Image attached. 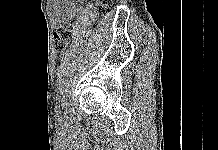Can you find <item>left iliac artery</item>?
Returning <instances> with one entry per match:
<instances>
[{"label": "left iliac artery", "mask_w": 218, "mask_h": 150, "mask_svg": "<svg viewBox=\"0 0 218 150\" xmlns=\"http://www.w3.org/2000/svg\"><path fill=\"white\" fill-rule=\"evenodd\" d=\"M55 112H56V116H60L61 111L59 110L58 106H55Z\"/></svg>", "instance_id": "obj_1"}]
</instances>
